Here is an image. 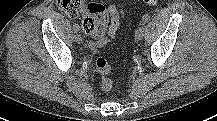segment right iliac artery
Returning a JSON list of instances; mask_svg holds the SVG:
<instances>
[{"instance_id": "right-iliac-artery-1", "label": "right iliac artery", "mask_w": 217, "mask_h": 121, "mask_svg": "<svg viewBox=\"0 0 217 121\" xmlns=\"http://www.w3.org/2000/svg\"><path fill=\"white\" fill-rule=\"evenodd\" d=\"M73 30H74V32H79L80 31V27H79V25H77V24H75L74 26H73Z\"/></svg>"}]
</instances>
